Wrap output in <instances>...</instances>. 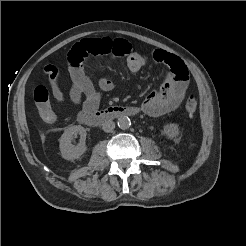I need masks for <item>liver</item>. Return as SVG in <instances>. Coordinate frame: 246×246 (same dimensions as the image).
<instances>
[{
	"mask_svg": "<svg viewBox=\"0 0 246 246\" xmlns=\"http://www.w3.org/2000/svg\"><path fill=\"white\" fill-rule=\"evenodd\" d=\"M40 137H41V141H42V143H44L45 142V134L44 133H41L40 134Z\"/></svg>",
	"mask_w": 246,
	"mask_h": 246,
	"instance_id": "obj_1",
	"label": "liver"
}]
</instances>
